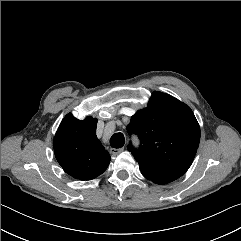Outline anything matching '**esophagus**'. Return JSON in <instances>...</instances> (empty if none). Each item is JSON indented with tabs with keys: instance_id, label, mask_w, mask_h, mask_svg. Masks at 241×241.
I'll return each instance as SVG.
<instances>
[{
	"instance_id": "esophagus-1",
	"label": "esophagus",
	"mask_w": 241,
	"mask_h": 241,
	"mask_svg": "<svg viewBox=\"0 0 241 241\" xmlns=\"http://www.w3.org/2000/svg\"><path fill=\"white\" fill-rule=\"evenodd\" d=\"M123 150H124V148H119V149L111 148V149H110V153H111L112 155H117V154L121 153Z\"/></svg>"
}]
</instances>
